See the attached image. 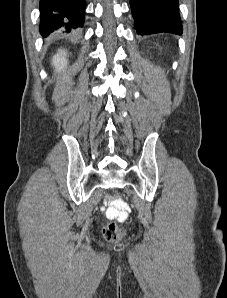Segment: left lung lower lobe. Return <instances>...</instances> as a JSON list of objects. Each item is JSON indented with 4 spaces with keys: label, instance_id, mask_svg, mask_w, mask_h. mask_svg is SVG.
<instances>
[{
    "label": "left lung lower lobe",
    "instance_id": "left-lung-lower-lobe-1",
    "mask_svg": "<svg viewBox=\"0 0 227 298\" xmlns=\"http://www.w3.org/2000/svg\"><path fill=\"white\" fill-rule=\"evenodd\" d=\"M130 5L140 35L182 34L178 0H130Z\"/></svg>",
    "mask_w": 227,
    "mask_h": 298
}]
</instances>
